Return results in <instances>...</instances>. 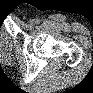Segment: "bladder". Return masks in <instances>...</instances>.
Instances as JSON below:
<instances>
[{"label":"bladder","instance_id":"obj_1","mask_svg":"<svg viewBox=\"0 0 93 93\" xmlns=\"http://www.w3.org/2000/svg\"><path fill=\"white\" fill-rule=\"evenodd\" d=\"M1 46H7L10 43V39L7 36L1 37L0 40Z\"/></svg>","mask_w":93,"mask_h":93}]
</instances>
